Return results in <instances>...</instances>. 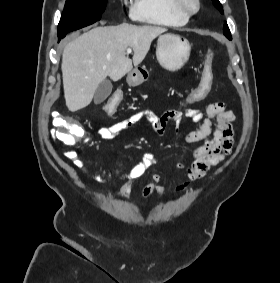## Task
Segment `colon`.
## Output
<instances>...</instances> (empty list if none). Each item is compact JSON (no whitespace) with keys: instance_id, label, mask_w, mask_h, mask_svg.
<instances>
[{"instance_id":"5ec220e1","label":"colon","mask_w":280,"mask_h":283,"mask_svg":"<svg viewBox=\"0 0 280 283\" xmlns=\"http://www.w3.org/2000/svg\"><path fill=\"white\" fill-rule=\"evenodd\" d=\"M213 59V53L208 51L205 56L204 67L205 70L198 79L197 84L192 87V91L189 94H185L183 97L184 107L181 108L182 112L186 111V108H190L191 105H197V102H204L207 95H211L212 91V79L214 77V71L211 69V62ZM123 99L121 92L117 94H110V99L105 100V115L115 116L114 111L120 100ZM75 114H64L62 117L59 113L54 114V122L56 129L54 131V138L65 146H73L77 140L83 135L84 129L76 121L69 120L75 119Z\"/></svg>"}]
</instances>
